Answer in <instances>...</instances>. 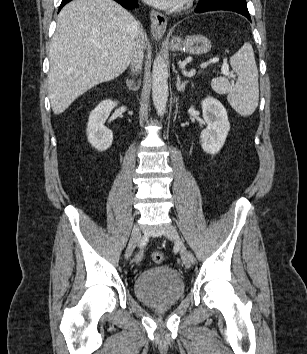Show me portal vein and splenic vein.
Instances as JSON below:
<instances>
[{"label":"portal vein and splenic vein","mask_w":307,"mask_h":354,"mask_svg":"<svg viewBox=\"0 0 307 354\" xmlns=\"http://www.w3.org/2000/svg\"><path fill=\"white\" fill-rule=\"evenodd\" d=\"M103 56H108V52L107 51H103L102 53ZM219 62V58H213L211 61H207L203 63V67H207L210 63L216 64ZM222 73L226 76H229V67L227 63H224L222 66Z\"/></svg>","instance_id":"18ae733b"}]
</instances>
